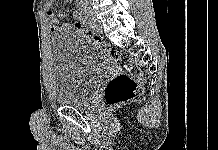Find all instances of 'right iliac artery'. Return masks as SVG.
<instances>
[{"instance_id": "82829eb1", "label": "right iliac artery", "mask_w": 218, "mask_h": 150, "mask_svg": "<svg viewBox=\"0 0 218 150\" xmlns=\"http://www.w3.org/2000/svg\"><path fill=\"white\" fill-rule=\"evenodd\" d=\"M78 16L79 19L82 20L84 23L92 26V21L88 16L84 14L83 7H81V11L78 13Z\"/></svg>"}]
</instances>
